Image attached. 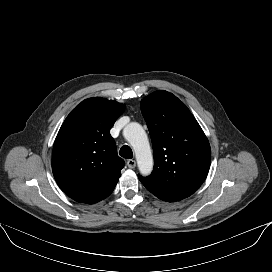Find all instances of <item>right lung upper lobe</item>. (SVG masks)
<instances>
[{"mask_svg":"<svg viewBox=\"0 0 272 272\" xmlns=\"http://www.w3.org/2000/svg\"><path fill=\"white\" fill-rule=\"evenodd\" d=\"M124 107L102 97L89 98L62 124L53 146L52 171L73 200L91 204L118 182L125 162L109 131Z\"/></svg>","mask_w":272,"mask_h":272,"instance_id":"1","label":"right lung upper lobe"}]
</instances>
